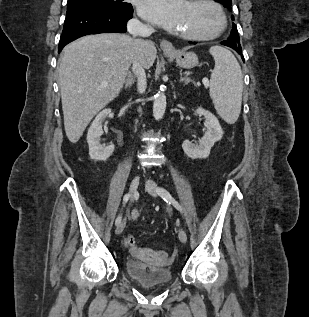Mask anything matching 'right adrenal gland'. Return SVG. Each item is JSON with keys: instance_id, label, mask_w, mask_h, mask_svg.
Listing matches in <instances>:
<instances>
[{"instance_id": "obj_1", "label": "right adrenal gland", "mask_w": 309, "mask_h": 317, "mask_svg": "<svg viewBox=\"0 0 309 317\" xmlns=\"http://www.w3.org/2000/svg\"><path fill=\"white\" fill-rule=\"evenodd\" d=\"M134 82H135V79L133 78L132 74L129 72L128 77H127L126 81L124 82L125 89L128 87L130 88L134 84Z\"/></svg>"}]
</instances>
